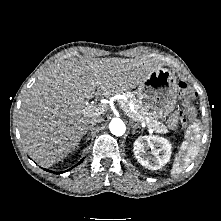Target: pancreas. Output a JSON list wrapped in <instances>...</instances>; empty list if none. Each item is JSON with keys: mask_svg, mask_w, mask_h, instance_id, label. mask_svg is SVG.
Here are the masks:
<instances>
[{"mask_svg": "<svg viewBox=\"0 0 221 221\" xmlns=\"http://www.w3.org/2000/svg\"><path fill=\"white\" fill-rule=\"evenodd\" d=\"M125 96L128 98L130 103L133 104L134 109L131 110L128 108L126 110V114L134 121L136 122H144L149 128L154 130L157 133H168L167 127L162 123L157 121L151 116H147L140 108L138 104V100L135 98L134 94L132 93H126ZM126 106H128L126 101H122Z\"/></svg>", "mask_w": 221, "mask_h": 221, "instance_id": "cf45deb5", "label": "pancreas"}]
</instances>
